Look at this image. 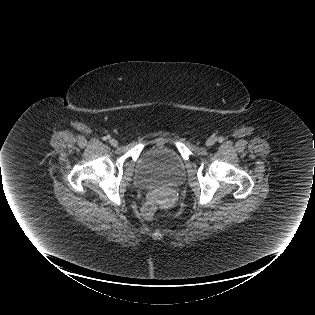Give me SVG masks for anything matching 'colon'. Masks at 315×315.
Listing matches in <instances>:
<instances>
[{
    "label": "colon",
    "mask_w": 315,
    "mask_h": 315,
    "mask_svg": "<svg viewBox=\"0 0 315 315\" xmlns=\"http://www.w3.org/2000/svg\"><path fill=\"white\" fill-rule=\"evenodd\" d=\"M157 211V203L153 200L147 201L142 207V215L147 219H154Z\"/></svg>",
    "instance_id": "1"
}]
</instances>
